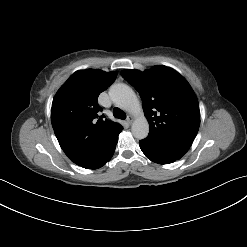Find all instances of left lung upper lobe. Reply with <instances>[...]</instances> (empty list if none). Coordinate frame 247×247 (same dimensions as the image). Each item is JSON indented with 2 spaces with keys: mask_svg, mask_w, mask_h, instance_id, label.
<instances>
[{
  "mask_svg": "<svg viewBox=\"0 0 247 247\" xmlns=\"http://www.w3.org/2000/svg\"><path fill=\"white\" fill-rule=\"evenodd\" d=\"M122 77L139 92L150 131L148 138L190 148L199 126V104L191 86L175 70L154 66L126 69Z\"/></svg>",
  "mask_w": 247,
  "mask_h": 247,
  "instance_id": "obj_1",
  "label": "left lung upper lobe"
}]
</instances>
